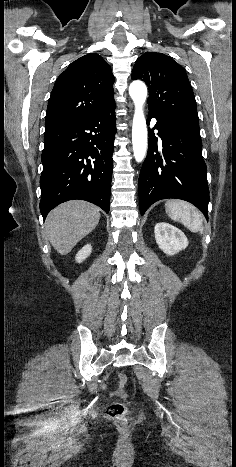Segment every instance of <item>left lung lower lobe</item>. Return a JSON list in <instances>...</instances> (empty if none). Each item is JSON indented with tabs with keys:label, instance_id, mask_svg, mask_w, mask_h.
I'll list each match as a JSON object with an SVG mask.
<instances>
[{
	"label": "left lung lower lobe",
	"instance_id": "0a47b994",
	"mask_svg": "<svg viewBox=\"0 0 236 467\" xmlns=\"http://www.w3.org/2000/svg\"><path fill=\"white\" fill-rule=\"evenodd\" d=\"M155 128L162 143L149 130L147 157L141 168L138 190L141 215L156 201L177 198L195 205L208 219L207 167L197 116L158 115Z\"/></svg>",
	"mask_w": 236,
	"mask_h": 467
}]
</instances>
